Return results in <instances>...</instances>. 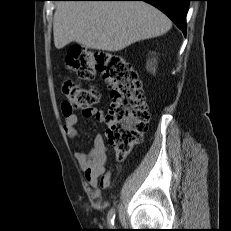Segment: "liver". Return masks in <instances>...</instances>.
<instances>
[{
    "mask_svg": "<svg viewBox=\"0 0 231 231\" xmlns=\"http://www.w3.org/2000/svg\"><path fill=\"white\" fill-rule=\"evenodd\" d=\"M171 27L166 15L139 1H60L53 19L57 49L75 41L85 48L116 52Z\"/></svg>",
    "mask_w": 231,
    "mask_h": 231,
    "instance_id": "liver-1",
    "label": "liver"
}]
</instances>
